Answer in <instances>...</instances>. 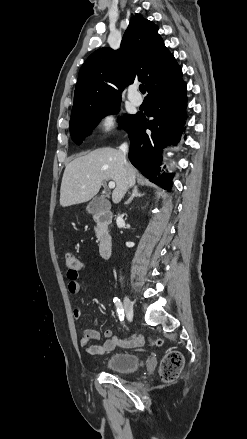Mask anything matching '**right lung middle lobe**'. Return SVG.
<instances>
[{
  "label": "right lung middle lobe",
  "instance_id": "obj_1",
  "mask_svg": "<svg viewBox=\"0 0 247 439\" xmlns=\"http://www.w3.org/2000/svg\"><path fill=\"white\" fill-rule=\"evenodd\" d=\"M119 106L120 101L72 116L69 125L73 141L77 144H81L84 137L91 133L96 123L107 114L118 110ZM135 117L136 115H126L124 119H120L121 126L127 129Z\"/></svg>",
  "mask_w": 247,
  "mask_h": 439
}]
</instances>
